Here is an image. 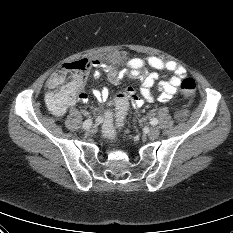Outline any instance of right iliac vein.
I'll return each instance as SVG.
<instances>
[{"label": "right iliac vein", "instance_id": "1", "mask_svg": "<svg viewBox=\"0 0 233 233\" xmlns=\"http://www.w3.org/2000/svg\"><path fill=\"white\" fill-rule=\"evenodd\" d=\"M95 133V129L94 128H90L89 130L88 129H85L84 131H83V134L85 135V136H88L89 134L90 135H93Z\"/></svg>", "mask_w": 233, "mask_h": 233}]
</instances>
